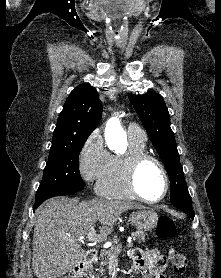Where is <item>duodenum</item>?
<instances>
[{
	"mask_svg": "<svg viewBox=\"0 0 221 278\" xmlns=\"http://www.w3.org/2000/svg\"><path fill=\"white\" fill-rule=\"evenodd\" d=\"M97 254L98 252L96 249H87L85 260L73 267V269L69 273V278H82L87 266L95 260Z\"/></svg>",
	"mask_w": 221,
	"mask_h": 278,
	"instance_id": "obj_1",
	"label": "duodenum"
}]
</instances>
